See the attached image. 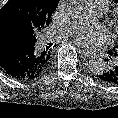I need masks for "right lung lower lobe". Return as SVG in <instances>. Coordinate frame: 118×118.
<instances>
[{"instance_id":"obj_1","label":"right lung lower lobe","mask_w":118,"mask_h":118,"mask_svg":"<svg viewBox=\"0 0 118 118\" xmlns=\"http://www.w3.org/2000/svg\"><path fill=\"white\" fill-rule=\"evenodd\" d=\"M38 47L19 29L0 31V69L17 80L32 79L36 70Z\"/></svg>"}]
</instances>
